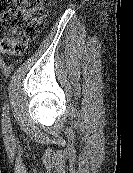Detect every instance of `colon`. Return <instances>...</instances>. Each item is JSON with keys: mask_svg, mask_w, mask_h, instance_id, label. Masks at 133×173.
Listing matches in <instances>:
<instances>
[{"mask_svg": "<svg viewBox=\"0 0 133 173\" xmlns=\"http://www.w3.org/2000/svg\"><path fill=\"white\" fill-rule=\"evenodd\" d=\"M42 0H0V50L20 54L43 29Z\"/></svg>", "mask_w": 133, "mask_h": 173, "instance_id": "5ec220e1", "label": "colon"}]
</instances>
